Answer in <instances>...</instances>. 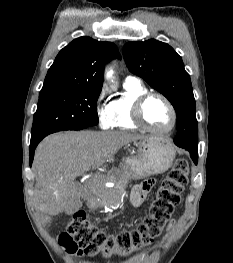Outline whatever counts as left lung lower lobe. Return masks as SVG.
<instances>
[{
	"label": "left lung lower lobe",
	"mask_w": 233,
	"mask_h": 263,
	"mask_svg": "<svg viewBox=\"0 0 233 263\" xmlns=\"http://www.w3.org/2000/svg\"><path fill=\"white\" fill-rule=\"evenodd\" d=\"M175 143V142H174ZM178 147L184 148L187 151H189L192 160L194 161L195 164H197L198 161V152H197V146H194L189 143H175Z\"/></svg>",
	"instance_id": "1"
}]
</instances>
